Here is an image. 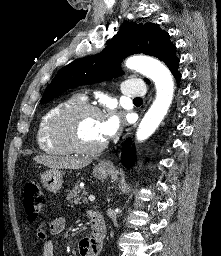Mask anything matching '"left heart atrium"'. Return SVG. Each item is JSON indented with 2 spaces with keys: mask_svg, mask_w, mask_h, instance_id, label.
Here are the masks:
<instances>
[{
  "mask_svg": "<svg viewBox=\"0 0 221 256\" xmlns=\"http://www.w3.org/2000/svg\"><path fill=\"white\" fill-rule=\"evenodd\" d=\"M120 125H121L120 117L114 111H111L106 116L102 117L101 133L104 139L114 136L119 130Z\"/></svg>",
  "mask_w": 221,
  "mask_h": 256,
  "instance_id": "1",
  "label": "left heart atrium"
}]
</instances>
